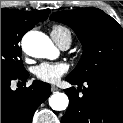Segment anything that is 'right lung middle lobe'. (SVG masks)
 <instances>
[{
	"instance_id": "dd1d6c3e",
	"label": "right lung middle lobe",
	"mask_w": 123,
	"mask_h": 123,
	"mask_svg": "<svg viewBox=\"0 0 123 123\" xmlns=\"http://www.w3.org/2000/svg\"><path fill=\"white\" fill-rule=\"evenodd\" d=\"M34 24L22 22L16 14L1 9V78L24 75L19 42Z\"/></svg>"
}]
</instances>
